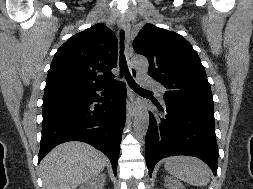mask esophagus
Returning a JSON list of instances; mask_svg holds the SVG:
<instances>
[{
	"instance_id": "1",
	"label": "esophagus",
	"mask_w": 253,
	"mask_h": 189,
	"mask_svg": "<svg viewBox=\"0 0 253 189\" xmlns=\"http://www.w3.org/2000/svg\"><path fill=\"white\" fill-rule=\"evenodd\" d=\"M119 26L120 28L125 32L126 34V41H125V54H126V57H127V60H128V64H129V70H130V73H131V76L134 78V79H137L138 77V72L136 69H134L132 67V65L130 64V57L132 55V52L130 50V42H129V37H130V24L128 23V21L125 19V18H121L119 20ZM136 97L132 94V93H129V100L127 102V106H126V113H127V116L132 118L135 113H136Z\"/></svg>"
}]
</instances>
